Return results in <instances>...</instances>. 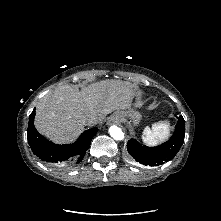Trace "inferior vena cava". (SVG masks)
<instances>
[{"label": "inferior vena cava", "mask_w": 221, "mask_h": 221, "mask_svg": "<svg viewBox=\"0 0 221 221\" xmlns=\"http://www.w3.org/2000/svg\"><path fill=\"white\" fill-rule=\"evenodd\" d=\"M85 125H88V126H93L95 124H97V121L93 118H87L84 122Z\"/></svg>", "instance_id": "inferior-vena-cava-1"}]
</instances>
